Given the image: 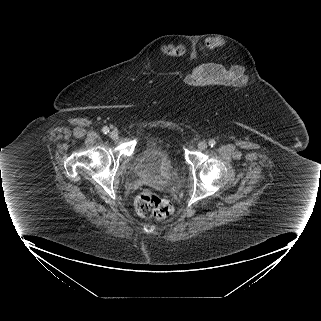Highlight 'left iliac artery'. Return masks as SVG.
I'll list each match as a JSON object with an SVG mask.
<instances>
[{"label": "left iliac artery", "mask_w": 321, "mask_h": 321, "mask_svg": "<svg viewBox=\"0 0 321 321\" xmlns=\"http://www.w3.org/2000/svg\"><path fill=\"white\" fill-rule=\"evenodd\" d=\"M208 145L210 147H214L216 145V141L214 139L209 140Z\"/></svg>", "instance_id": "obj_1"}]
</instances>
